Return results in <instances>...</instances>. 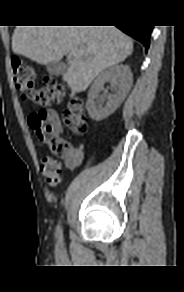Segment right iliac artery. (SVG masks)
Masks as SVG:
<instances>
[{"mask_svg": "<svg viewBox=\"0 0 184 292\" xmlns=\"http://www.w3.org/2000/svg\"><path fill=\"white\" fill-rule=\"evenodd\" d=\"M56 234L60 239L62 238L63 233H62V228L60 226L57 227Z\"/></svg>", "mask_w": 184, "mask_h": 292, "instance_id": "right-iliac-artery-1", "label": "right iliac artery"}]
</instances>
